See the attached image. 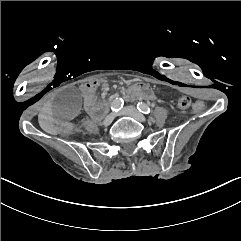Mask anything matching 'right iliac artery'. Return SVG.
I'll use <instances>...</instances> for the list:
<instances>
[{
  "instance_id": "1",
  "label": "right iliac artery",
  "mask_w": 241,
  "mask_h": 241,
  "mask_svg": "<svg viewBox=\"0 0 241 241\" xmlns=\"http://www.w3.org/2000/svg\"><path fill=\"white\" fill-rule=\"evenodd\" d=\"M124 101L122 98H116L111 104V110L114 112H118L123 108Z\"/></svg>"
}]
</instances>
